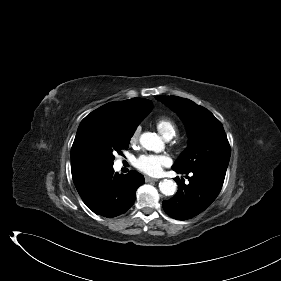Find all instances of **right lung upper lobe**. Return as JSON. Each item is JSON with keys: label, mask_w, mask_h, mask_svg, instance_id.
<instances>
[{"label": "right lung upper lobe", "mask_w": 281, "mask_h": 281, "mask_svg": "<svg viewBox=\"0 0 281 281\" xmlns=\"http://www.w3.org/2000/svg\"><path fill=\"white\" fill-rule=\"evenodd\" d=\"M151 109L150 100L132 98L110 102L88 114L81 121L71 148L73 181L101 169L97 149L113 134L135 132Z\"/></svg>", "instance_id": "cb5924a9"}]
</instances>
